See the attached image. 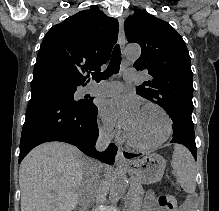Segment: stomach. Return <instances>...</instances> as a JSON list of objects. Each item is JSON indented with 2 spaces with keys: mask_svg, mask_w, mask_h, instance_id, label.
Returning <instances> with one entry per match:
<instances>
[{
  "mask_svg": "<svg viewBox=\"0 0 219 211\" xmlns=\"http://www.w3.org/2000/svg\"><path fill=\"white\" fill-rule=\"evenodd\" d=\"M165 167V159L157 153L146 154L141 158L122 165L123 170L136 175L143 184H152L160 181Z\"/></svg>",
  "mask_w": 219,
  "mask_h": 211,
  "instance_id": "stomach-1",
  "label": "stomach"
}]
</instances>
